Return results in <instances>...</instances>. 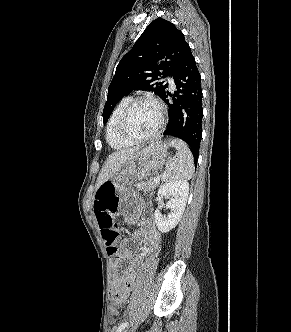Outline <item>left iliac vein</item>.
<instances>
[{
    "mask_svg": "<svg viewBox=\"0 0 291 332\" xmlns=\"http://www.w3.org/2000/svg\"><path fill=\"white\" fill-rule=\"evenodd\" d=\"M123 332H128L127 330H124Z\"/></svg>",
    "mask_w": 291,
    "mask_h": 332,
    "instance_id": "4c4485c4",
    "label": "left iliac vein"
}]
</instances>
